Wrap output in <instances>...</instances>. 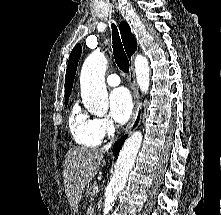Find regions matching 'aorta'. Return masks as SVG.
<instances>
[{
	"label": "aorta",
	"mask_w": 221,
	"mask_h": 215,
	"mask_svg": "<svg viewBox=\"0 0 221 215\" xmlns=\"http://www.w3.org/2000/svg\"><path fill=\"white\" fill-rule=\"evenodd\" d=\"M137 84L143 93L150 85L149 62L143 55H136L134 60ZM107 59L100 51L92 52L85 60L80 75V89L83 103L87 110L97 116H104L108 111V94L105 84ZM142 133L133 132L125 141L117 162L114 174L106 187L103 215H108L116 197L126 185L138 150L142 143Z\"/></svg>",
	"instance_id": "obj_1"
}]
</instances>
